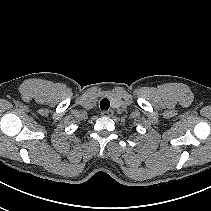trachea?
<instances>
[{
    "instance_id": "1",
    "label": "trachea",
    "mask_w": 211,
    "mask_h": 211,
    "mask_svg": "<svg viewBox=\"0 0 211 211\" xmlns=\"http://www.w3.org/2000/svg\"><path fill=\"white\" fill-rule=\"evenodd\" d=\"M110 107V101L106 98L100 101V108L101 110L107 111Z\"/></svg>"
}]
</instances>
